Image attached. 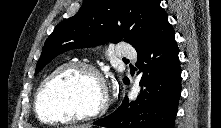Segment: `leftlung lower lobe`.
<instances>
[{"mask_svg":"<svg viewBox=\"0 0 221 128\" xmlns=\"http://www.w3.org/2000/svg\"><path fill=\"white\" fill-rule=\"evenodd\" d=\"M175 32L163 17L136 47L141 93L93 124L107 128H173L181 92V68ZM127 80L125 84H128Z\"/></svg>","mask_w":221,"mask_h":128,"instance_id":"1","label":"left lung lower lobe"}]
</instances>
